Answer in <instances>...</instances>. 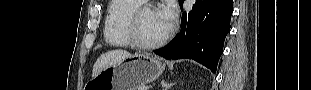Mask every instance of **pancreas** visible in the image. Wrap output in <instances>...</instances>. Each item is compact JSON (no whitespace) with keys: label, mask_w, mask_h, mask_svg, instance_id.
<instances>
[{"label":"pancreas","mask_w":311,"mask_h":90,"mask_svg":"<svg viewBox=\"0 0 311 90\" xmlns=\"http://www.w3.org/2000/svg\"><path fill=\"white\" fill-rule=\"evenodd\" d=\"M139 90H145V89H143V88H140Z\"/></svg>","instance_id":"pancreas-1"}]
</instances>
